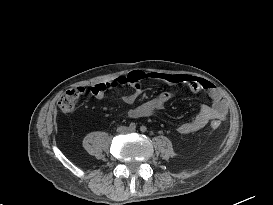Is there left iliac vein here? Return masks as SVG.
Segmentation results:
<instances>
[{
  "label": "left iliac vein",
  "mask_w": 273,
  "mask_h": 205,
  "mask_svg": "<svg viewBox=\"0 0 273 205\" xmlns=\"http://www.w3.org/2000/svg\"><path fill=\"white\" fill-rule=\"evenodd\" d=\"M136 130L135 129H129V132H135Z\"/></svg>",
  "instance_id": "4c4485c4"
}]
</instances>
